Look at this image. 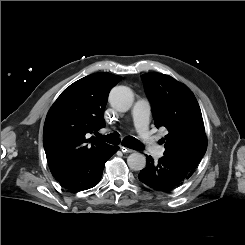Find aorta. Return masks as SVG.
I'll return each mask as SVG.
<instances>
[{
  "instance_id": "obj_1",
  "label": "aorta",
  "mask_w": 245,
  "mask_h": 245,
  "mask_svg": "<svg viewBox=\"0 0 245 245\" xmlns=\"http://www.w3.org/2000/svg\"><path fill=\"white\" fill-rule=\"evenodd\" d=\"M133 100V92L126 86H116L109 94L110 105L119 112L128 111L133 104ZM127 164L131 170L140 171L146 166V158L140 153H132L127 158Z\"/></svg>"
}]
</instances>
